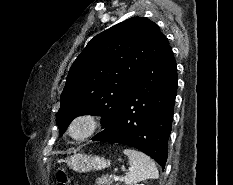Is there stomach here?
Returning <instances> with one entry per match:
<instances>
[{"mask_svg": "<svg viewBox=\"0 0 233 185\" xmlns=\"http://www.w3.org/2000/svg\"><path fill=\"white\" fill-rule=\"evenodd\" d=\"M66 163L69 168L79 173L89 172L91 170H101L106 168L108 164L103 157L82 153L69 156L66 159Z\"/></svg>", "mask_w": 233, "mask_h": 185, "instance_id": "stomach-1", "label": "stomach"}]
</instances>
